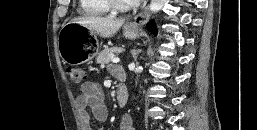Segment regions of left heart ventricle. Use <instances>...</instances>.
<instances>
[{"mask_svg": "<svg viewBox=\"0 0 257 130\" xmlns=\"http://www.w3.org/2000/svg\"><path fill=\"white\" fill-rule=\"evenodd\" d=\"M121 3L123 4H131V3H134L135 1L134 0H119Z\"/></svg>", "mask_w": 257, "mask_h": 130, "instance_id": "left-heart-ventricle-1", "label": "left heart ventricle"}]
</instances>
